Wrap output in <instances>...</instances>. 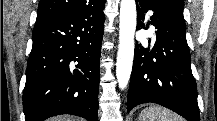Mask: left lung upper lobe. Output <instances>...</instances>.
Segmentation results:
<instances>
[{
    "label": "left lung upper lobe",
    "mask_w": 217,
    "mask_h": 121,
    "mask_svg": "<svg viewBox=\"0 0 217 121\" xmlns=\"http://www.w3.org/2000/svg\"><path fill=\"white\" fill-rule=\"evenodd\" d=\"M163 2L165 6H167L175 15L181 19L183 22V8H184V2L183 0H160Z\"/></svg>",
    "instance_id": "1"
}]
</instances>
